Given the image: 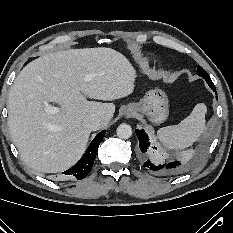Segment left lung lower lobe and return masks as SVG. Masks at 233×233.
Here are the masks:
<instances>
[{
	"mask_svg": "<svg viewBox=\"0 0 233 233\" xmlns=\"http://www.w3.org/2000/svg\"><path fill=\"white\" fill-rule=\"evenodd\" d=\"M201 77L206 80L209 87L216 93V87L214 86L209 75L206 74ZM135 132L139 139V147H140L141 152L144 153V155H148V158L144 163V167L158 174L173 173L176 167L178 166V163L177 162H168V163L160 162L157 156L155 155L157 148L156 147H151L152 149L149 148L150 142H149V138L147 134L145 133V131L137 129Z\"/></svg>",
	"mask_w": 233,
	"mask_h": 233,
	"instance_id": "obj_1",
	"label": "left lung lower lobe"
}]
</instances>
